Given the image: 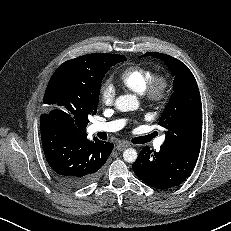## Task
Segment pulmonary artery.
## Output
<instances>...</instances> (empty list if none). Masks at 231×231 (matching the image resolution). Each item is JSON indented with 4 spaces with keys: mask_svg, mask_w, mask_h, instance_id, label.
I'll return each mask as SVG.
<instances>
[{
    "mask_svg": "<svg viewBox=\"0 0 231 231\" xmlns=\"http://www.w3.org/2000/svg\"><path fill=\"white\" fill-rule=\"evenodd\" d=\"M125 124V121L120 119V120H115L111 122H96L91 125L90 131L93 133L96 132H115L120 130ZM164 138H160L155 142V147L158 149L161 144L163 143Z\"/></svg>",
    "mask_w": 231,
    "mask_h": 231,
    "instance_id": "obj_1",
    "label": "pulmonary artery"
}]
</instances>
